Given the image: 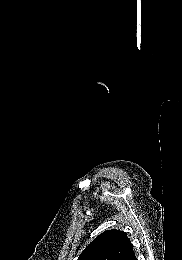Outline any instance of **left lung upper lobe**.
<instances>
[{
	"instance_id": "5c2ea615",
	"label": "left lung upper lobe",
	"mask_w": 182,
	"mask_h": 260,
	"mask_svg": "<svg viewBox=\"0 0 182 260\" xmlns=\"http://www.w3.org/2000/svg\"><path fill=\"white\" fill-rule=\"evenodd\" d=\"M131 251L132 245L126 233L112 229L98 235L78 260H126Z\"/></svg>"
}]
</instances>
